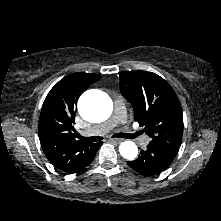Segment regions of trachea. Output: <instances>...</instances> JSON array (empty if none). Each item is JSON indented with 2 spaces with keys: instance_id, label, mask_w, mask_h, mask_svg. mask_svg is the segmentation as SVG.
I'll return each instance as SVG.
<instances>
[{
  "instance_id": "trachea-1",
  "label": "trachea",
  "mask_w": 221,
  "mask_h": 221,
  "mask_svg": "<svg viewBox=\"0 0 221 221\" xmlns=\"http://www.w3.org/2000/svg\"><path fill=\"white\" fill-rule=\"evenodd\" d=\"M138 135V133L135 134H126V133H117L114 134V137H121V138H135ZM81 141H85V142H89V143H93V142H97L102 140L103 138L100 136H94V137H83V136H79Z\"/></svg>"
}]
</instances>
